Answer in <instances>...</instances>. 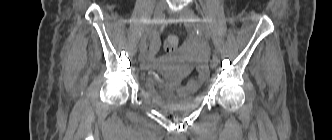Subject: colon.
<instances>
[{"label": "colon", "mask_w": 332, "mask_h": 140, "mask_svg": "<svg viewBox=\"0 0 332 140\" xmlns=\"http://www.w3.org/2000/svg\"><path fill=\"white\" fill-rule=\"evenodd\" d=\"M178 45V38L176 36H169L164 42V51L167 53L173 52Z\"/></svg>", "instance_id": "1"}]
</instances>
